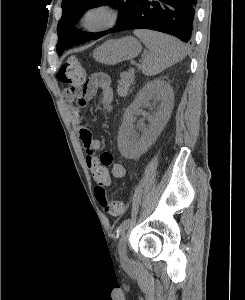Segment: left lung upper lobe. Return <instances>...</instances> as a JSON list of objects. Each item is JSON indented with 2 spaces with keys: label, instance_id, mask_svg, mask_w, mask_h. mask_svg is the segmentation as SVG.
<instances>
[{
  "label": "left lung upper lobe",
  "instance_id": "1",
  "mask_svg": "<svg viewBox=\"0 0 245 300\" xmlns=\"http://www.w3.org/2000/svg\"><path fill=\"white\" fill-rule=\"evenodd\" d=\"M134 1L135 0H63V14L58 25L57 53L61 55L66 48L90 41L107 32L87 34L71 27L80 19L86 10L97 6L111 5L119 11V19L116 24L118 25L131 13Z\"/></svg>",
  "mask_w": 245,
  "mask_h": 300
}]
</instances>
